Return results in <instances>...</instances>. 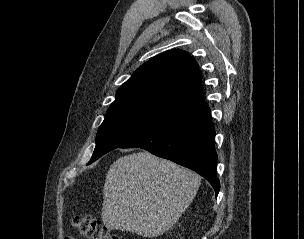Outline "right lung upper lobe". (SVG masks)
Returning a JSON list of instances; mask_svg holds the SVG:
<instances>
[{"mask_svg": "<svg viewBox=\"0 0 304 239\" xmlns=\"http://www.w3.org/2000/svg\"><path fill=\"white\" fill-rule=\"evenodd\" d=\"M204 104L198 64L187 52L175 49L140 66L117 90L107 113L143 110L170 120Z\"/></svg>", "mask_w": 304, "mask_h": 239, "instance_id": "right-lung-upper-lobe-1", "label": "right lung upper lobe"}]
</instances>
